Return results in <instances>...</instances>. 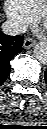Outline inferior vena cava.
Here are the masks:
<instances>
[{
    "instance_id": "1",
    "label": "inferior vena cava",
    "mask_w": 47,
    "mask_h": 129,
    "mask_svg": "<svg viewBox=\"0 0 47 129\" xmlns=\"http://www.w3.org/2000/svg\"><path fill=\"white\" fill-rule=\"evenodd\" d=\"M3 33L11 36L19 35L26 31V28L17 21L7 20L1 25Z\"/></svg>"
}]
</instances>
